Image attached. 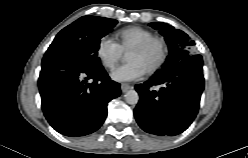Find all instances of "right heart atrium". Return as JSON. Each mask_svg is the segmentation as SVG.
I'll list each match as a JSON object with an SVG mask.
<instances>
[{"label":"right heart atrium","instance_id":"d8ad5b80","mask_svg":"<svg viewBox=\"0 0 248 158\" xmlns=\"http://www.w3.org/2000/svg\"><path fill=\"white\" fill-rule=\"evenodd\" d=\"M96 55L106 69H113L122 59L123 52L116 42L102 37L97 43Z\"/></svg>","mask_w":248,"mask_h":158}]
</instances>
